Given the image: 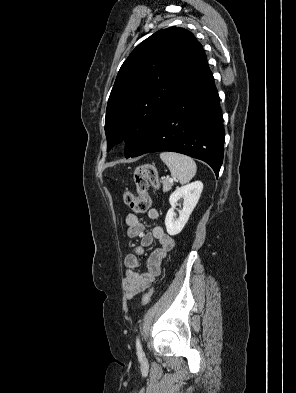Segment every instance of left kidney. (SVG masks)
<instances>
[{
	"label": "left kidney",
	"mask_w": 296,
	"mask_h": 393,
	"mask_svg": "<svg viewBox=\"0 0 296 393\" xmlns=\"http://www.w3.org/2000/svg\"><path fill=\"white\" fill-rule=\"evenodd\" d=\"M203 190L201 181H195L190 184L178 187L169 198L172 206L168 210L165 218V226L167 233L171 236L179 234L187 223L192 211L197 205ZM183 199V208L179 211V218L174 219V209L178 200Z\"/></svg>",
	"instance_id": "1"
}]
</instances>
